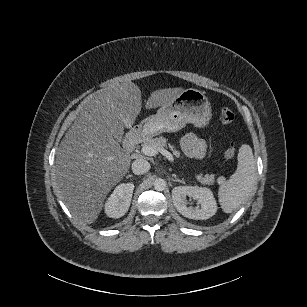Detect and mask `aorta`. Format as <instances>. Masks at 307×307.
<instances>
[{"label": "aorta", "instance_id": "762f6f07", "mask_svg": "<svg viewBox=\"0 0 307 307\" xmlns=\"http://www.w3.org/2000/svg\"><path fill=\"white\" fill-rule=\"evenodd\" d=\"M166 187V181L162 178H158L154 181V188L157 191H163Z\"/></svg>", "mask_w": 307, "mask_h": 307}]
</instances>
